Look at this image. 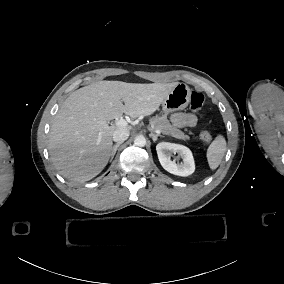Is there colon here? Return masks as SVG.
Wrapping results in <instances>:
<instances>
[{
    "instance_id": "5ec220e1",
    "label": "colon",
    "mask_w": 284,
    "mask_h": 284,
    "mask_svg": "<svg viewBox=\"0 0 284 284\" xmlns=\"http://www.w3.org/2000/svg\"><path fill=\"white\" fill-rule=\"evenodd\" d=\"M204 104V96L198 91H192L190 94V106L194 111L199 112ZM201 140L203 142H210L211 135L208 132L201 134Z\"/></svg>"
}]
</instances>
